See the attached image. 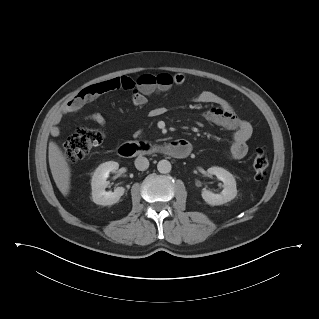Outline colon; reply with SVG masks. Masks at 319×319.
<instances>
[{
    "instance_id": "obj_1",
    "label": "colon",
    "mask_w": 319,
    "mask_h": 319,
    "mask_svg": "<svg viewBox=\"0 0 319 319\" xmlns=\"http://www.w3.org/2000/svg\"><path fill=\"white\" fill-rule=\"evenodd\" d=\"M166 74V73H163ZM163 74H143L136 80L128 79L120 84L124 90L148 91L163 82ZM105 136V131L99 128H79L62 144L66 159L76 162L87 156L95 147L99 146ZM269 159L263 149H257L252 158V167L255 179L262 180L266 176Z\"/></svg>"
}]
</instances>
